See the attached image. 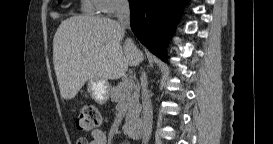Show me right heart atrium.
I'll list each match as a JSON object with an SVG mask.
<instances>
[{
	"mask_svg": "<svg viewBox=\"0 0 273 144\" xmlns=\"http://www.w3.org/2000/svg\"><path fill=\"white\" fill-rule=\"evenodd\" d=\"M97 10L106 15H114L123 9L128 3L126 0H95Z\"/></svg>",
	"mask_w": 273,
	"mask_h": 144,
	"instance_id": "d8ad5b80",
	"label": "right heart atrium"
}]
</instances>
